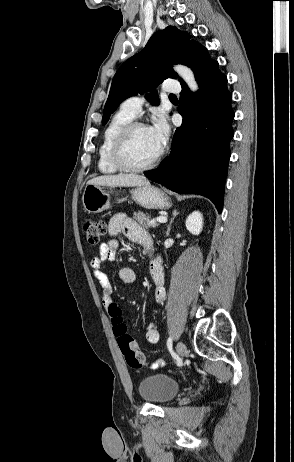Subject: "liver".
I'll return each mask as SVG.
<instances>
[{
	"instance_id": "obj_1",
	"label": "liver",
	"mask_w": 294,
	"mask_h": 462,
	"mask_svg": "<svg viewBox=\"0 0 294 462\" xmlns=\"http://www.w3.org/2000/svg\"><path fill=\"white\" fill-rule=\"evenodd\" d=\"M149 181L136 174L103 175L95 177L87 182V185L100 186H144L149 185Z\"/></svg>"
}]
</instances>
